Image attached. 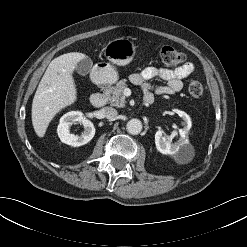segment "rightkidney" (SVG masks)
Wrapping results in <instances>:
<instances>
[{
    "label": "right kidney",
    "instance_id": "obj_1",
    "mask_svg": "<svg viewBox=\"0 0 247 247\" xmlns=\"http://www.w3.org/2000/svg\"><path fill=\"white\" fill-rule=\"evenodd\" d=\"M74 122H80L84 126V131L81 136L70 134L69 127ZM57 133L60 140L68 145L79 147L87 144L95 135V127L90 120L83 117L80 111H71L64 114L60 118V123L57 128Z\"/></svg>",
    "mask_w": 247,
    "mask_h": 247
}]
</instances>
